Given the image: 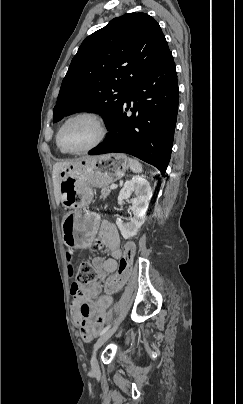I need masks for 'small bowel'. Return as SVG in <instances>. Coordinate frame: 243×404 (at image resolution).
<instances>
[{"label": "small bowel", "instance_id": "obj_1", "mask_svg": "<svg viewBox=\"0 0 243 404\" xmlns=\"http://www.w3.org/2000/svg\"><path fill=\"white\" fill-rule=\"evenodd\" d=\"M97 247L108 249L110 257L106 260L95 258L93 264L100 278L114 272L118 267V259L122 256L121 240L114 224L104 222L101 226ZM99 283L86 287L76 281L71 284V312L76 325L81 328L83 340L90 341L103 327L112 297L100 295Z\"/></svg>", "mask_w": 243, "mask_h": 404}]
</instances>
